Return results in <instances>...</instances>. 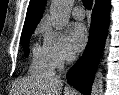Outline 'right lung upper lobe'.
Returning a JSON list of instances; mask_svg holds the SVG:
<instances>
[{
	"instance_id": "cb5924a9",
	"label": "right lung upper lobe",
	"mask_w": 119,
	"mask_h": 95,
	"mask_svg": "<svg viewBox=\"0 0 119 95\" xmlns=\"http://www.w3.org/2000/svg\"><path fill=\"white\" fill-rule=\"evenodd\" d=\"M103 1L106 0H96L95 4L101 3ZM45 4L46 0H30L22 33L34 30L36 28V25L38 24V22L42 17Z\"/></svg>"
}]
</instances>
